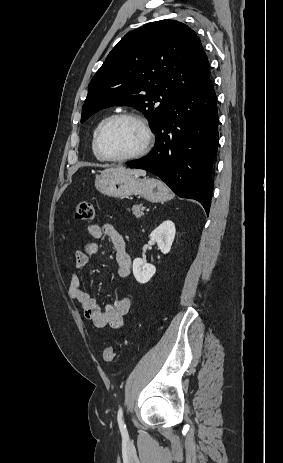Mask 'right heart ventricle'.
Listing matches in <instances>:
<instances>
[{
    "label": "right heart ventricle",
    "mask_w": 283,
    "mask_h": 463,
    "mask_svg": "<svg viewBox=\"0 0 283 463\" xmlns=\"http://www.w3.org/2000/svg\"><path fill=\"white\" fill-rule=\"evenodd\" d=\"M106 118H107V117L102 118V119L97 123V125L95 126V128H94V130H93V132H92V136H91V149H92V153H93L94 157H95L96 159H99V160H100L101 158L99 157V155L97 154V152H96V150H95V147H94V137H95V134H96L97 129L99 128V126L101 125V123H102Z\"/></svg>",
    "instance_id": "right-heart-ventricle-1"
}]
</instances>
